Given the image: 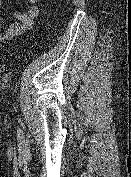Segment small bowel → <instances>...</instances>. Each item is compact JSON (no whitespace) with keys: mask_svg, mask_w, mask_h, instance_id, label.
I'll list each match as a JSON object with an SVG mask.
<instances>
[{"mask_svg":"<svg viewBox=\"0 0 131 177\" xmlns=\"http://www.w3.org/2000/svg\"><path fill=\"white\" fill-rule=\"evenodd\" d=\"M27 1L29 3L28 9L24 12L16 13L15 20L6 28L0 29V41L15 39L33 27L34 21L39 15V9L36 5L37 0Z\"/></svg>","mask_w":131,"mask_h":177,"instance_id":"obj_1","label":"small bowel"}]
</instances>
